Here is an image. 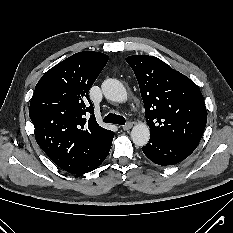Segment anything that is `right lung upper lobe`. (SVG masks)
Segmentation results:
<instances>
[{
    "label": "right lung upper lobe",
    "mask_w": 233,
    "mask_h": 233,
    "mask_svg": "<svg viewBox=\"0 0 233 233\" xmlns=\"http://www.w3.org/2000/svg\"><path fill=\"white\" fill-rule=\"evenodd\" d=\"M109 57L76 53L48 70L37 83L29 116L35 139L61 169L70 170L99 154L114 132L100 127L88 92Z\"/></svg>",
    "instance_id": "cb5924a9"
}]
</instances>
